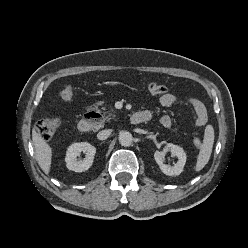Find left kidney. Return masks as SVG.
I'll list each match as a JSON object with an SVG mask.
<instances>
[{
  "label": "left kidney",
  "mask_w": 248,
  "mask_h": 248,
  "mask_svg": "<svg viewBox=\"0 0 248 248\" xmlns=\"http://www.w3.org/2000/svg\"><path fill=\"white\" fill-rule=\"evenodd\" d=\"M168 151L178 158L177 163L173 166L166 165L164 163V157ZM154 159L165 175L178 176L183 171L184 165L186 163V153L184 152L183 148L169 143L163 148V151H155Z\"/></svg>",
  "instance_id": "obj_1"
}]
</instances>
